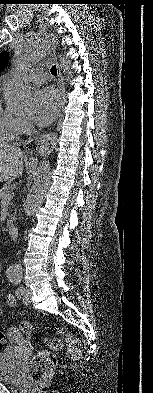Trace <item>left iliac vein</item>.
I'll return each mask as SVG.
<instances>
[{"mask_svg": "<svg viewBox=\"0 0 153 393\" xmlns=\"http://www.w3.org/2000/svg\"><path fill=\"white\" fill-rule=\"evenodd\" d=\"M23 287V286H22ZM29 295H30V290L28 287H23L21 294L19 297L22 298V301L24 304L28 305L29 304Z\"/></svg>", "mask_w": 153, "mask_h": 393, "instance_id": "left-iliac-vein-1", "label": "left iliac vein"}]
</instances>
